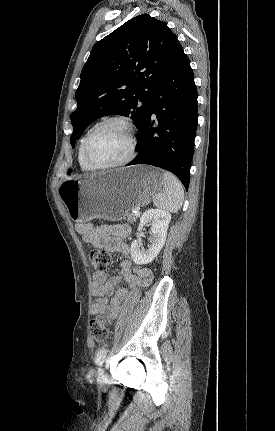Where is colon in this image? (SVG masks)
I'll return each mask as SVG.
<instances>
[{"mask_svg": "<svg viewBox=\"0 0 275 431\" xmlns=\"http://www.w3.org/2000/svg\"><path fill=\"white\" fill-rule=\"evenodd\" d=\"M89 259L96 271L103 272L110 264L112 257L105 249H92L89 252ZM89 331L92 339L97 343L105 342L109 335L107 324L97 316L90 321Z\"/></svg>", "mask_w": 275, "mask_h": 431, "instance_id": "1", "label": "colon"}]
</instances>
